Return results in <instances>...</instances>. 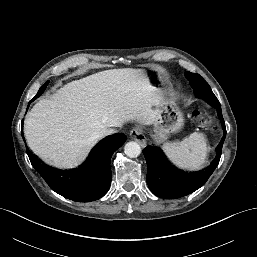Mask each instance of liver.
I'll return each instance as SVG.
<instances>
[{"label": "liver", "mask_w": 257, "mask_h": 257, "mask_svg": "<svg viewBox=\"0 0 257 257\" xmlns=\"http://www.w3.org/2000/svg\"><path fill=\"white\" fill-rule=\"evenodd\" d=\"M162 91L140 69H111L67 83L28 113L24 133L38 157L59 168L79 164L111 127L153 125Z\"/></svg>", "instance_id": "1"}]
</instances>
